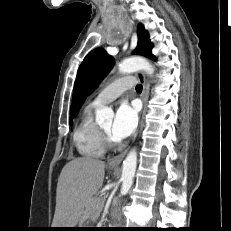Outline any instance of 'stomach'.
Masks as SVG:
<instances>
[{"label":"stomach","instance_id":"stomach-1","mask_svg":"<svg viewBox=\"0 0 231 231\" xmlns=\"http://www.w3.org/2000/svg\"><path fill=\"white\" fill-rule=\"evenodd\" d=\"M80 228H89V227H80Z\"/></svg>","mask_w":231,"mask_h":231}]
</instances>
